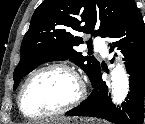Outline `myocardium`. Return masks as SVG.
Wrapping results in <instances>:
<instances>
[{"label":"myocardium","mask_w":145,"mask_h":124,"mask_svg":"<svg viewBox=\"0 0 145 124\" xmlns=\"http://www.w3.org/2000/svg\"><path fill=\"white\" fill-rule=\"evenodd\" d=\"M54 69L63 70L74 77V79L77 81L78 86H79V90L76 97L73 100H71L69 103H67L66 105H64L63 107L57 110L47 112V113H40V114H27L23 107V97H24V93L28 85L39 74L45 71L54 70ZM86 94H87L86 84L74 68H72L71 66L65 63H51V64H47L36 69L33 73H31L27 77V79L22 84L19 94H18V106H19L20 112L22 113L24 117L28 119H44V118L59 116V115L69 112L70 110L78 106L85 99Z\"/></svg>","instance_id":"f54148a6"}]
</instances>
